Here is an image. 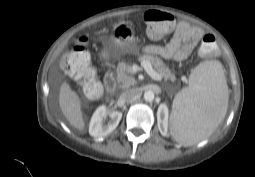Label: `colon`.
<instances>
[{
	"label": "colon",
	"instance_id": "obj_1",
	"mask_svg": "<svg viewBox=\"0 0 255 177\" xmlns=\"http://www.w3.org/2000/svg\"><path fill=\"white\" fill-rule=\"evenodd\" d=\"M147 33L152 39H159L168 33L175 25V18L167 12L149 10L144 15ZM87 38H80L74 47L62 58L63 72L75 78L86 96L96 98L101 93V85L97 79L95 68L87 48ZM217 50L215 36L206 35L202 39L199 51L202 55H212Z\"/></svg>",
	"mask_w": 255,
	"mask_h": 177
}]
</instances>
